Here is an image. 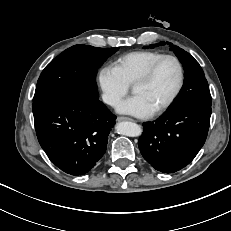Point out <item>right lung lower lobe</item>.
<instances>
[{"label": "right lung lower lobe", "mask_w": 231, "mask_h": 231, "mask_svg": "<svg viewBox=\"0 0 231 231\" xmlns=\"http://www.w3.org/2000/svg\"><path fill=\"white\" fill-rule=\"evenodd\" d=\"M38 141L49 159L62 171L83 175L107 149L114 116L98 99L75 94L33 102Z\"/></svg>", "instance_id": "98d812e1"}]
</instances>
